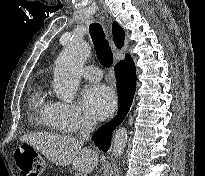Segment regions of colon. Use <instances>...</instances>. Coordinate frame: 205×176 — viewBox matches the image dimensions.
Here are the masks:
<instances>
[{
  "label": "colon",
  "mask_w": 205,
  "mask_h": 176,
  "mask_svg": "<svg viewBox=\"0 0 205 176\" xmlns=\"http://www.w3.org/2000/svg\"><path fill=\"white\" fill-rule=\"evenodd\" d=\"M14 160L23 176H40L43 173V158L29 148H17L14 152Z\"/></svg>",
  "instance_id": "5ec220e1"
}]
</instances>
